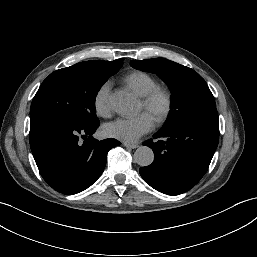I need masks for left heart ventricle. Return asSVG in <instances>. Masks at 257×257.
Instances as JSON below:
<instances>
[{
    "mask_svg": "<svg viewBox=\"0 0 257 257\" xmlns=\"http://www.w3.org/2000/svg\"><path fill=\"white\" fill-rule=\"evenodd\" d=\"M161 108V103H157L155 106H153L152 108H146L143 103H140V111H144L146 113H148L153 119L155 118L157 112L160 110Z\"/></svg>",
    "mask_w": 257,
    "mask_h": 257,
    "instance_id": "obj_1",
    "label": "left heart ventricle"
}]
</instances>
